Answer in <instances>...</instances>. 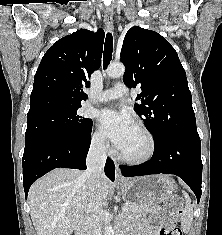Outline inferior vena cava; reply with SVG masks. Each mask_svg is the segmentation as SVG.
Masks as SVG:
<instances>
[{
	"label": "inferior vena cava",
	"instance_id": "inferior-vena-cava-1",
	"mask_svg": "<svg viewBox=\"0 0 222 235\" xmlns=\"http://www.w3.org/2000/svg\"><path fill=\"white\" fill-rule=\"evenodd\" d=\"M105 162L106 147L104 139L92 142L87 155V170L85 172L88 189L85 235H102V198L100 193V182L104 175L103 169Z\"/></svg>",
	"mask_w": 222,
	"mask_h": 235
}]
</instances>
